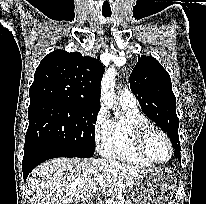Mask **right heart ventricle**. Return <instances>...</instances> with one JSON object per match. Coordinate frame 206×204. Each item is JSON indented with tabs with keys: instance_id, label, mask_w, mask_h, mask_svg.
Instances as JSON below:
<instances>
[{
	"instance_id": "e07e8e85",
	"label": "right heart ventricle",
	"mask_w": 206,
	"mask_h": 204,
	"mask_svg": "<svg viewBox=\"0 0 206 204\" xmlns=\"http://www.w3.org/2000/svg\"><path fill=\"white\" fill-rule=\"evenodd\" d=\"M121 107L122 115L109 120L107 137L100 148L102 156L128 164L152 166V163L142 157L135 145L136 131L149 125L148 119L137 106L121 103Z\"/></svg>"
}]
</instances>
